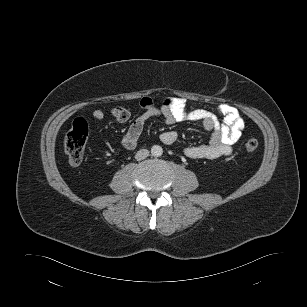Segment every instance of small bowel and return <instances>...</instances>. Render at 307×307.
I'll use <instances>...</instances> for the list:
<instances>
[{
    "label": "small bowel",
    "instance_id": "obj_1",
    "mask_svg": "<svg viewBox=\"0 0 307 307\" xmlns=\"http://www.w3.org/2000/svg\"><path fill=\"white\" fill-rule=\"evenodd\" d=\"M140 107L143 113L130 124L122 140V145L127 150L136 148L144 126L151 118L161 117L167 124L196 121L210 132V140L207 144L186 147L184 154L191 159L213 160L231 155L232 145L240 138L245 125L237 109L228 104H222L218 108L223 116L222 121L210 111L188 109L186 100L180 97L167 98L160 107H156L150 97H144L140 100ZM112 115L118 122L124 123L129 120L130 111L125 107H116L112 110ZM92 117L96 121H101L104 113L94 110ZM160 140L165 145H175L178 135L174 131H167L160 135Z\"/></svg>",
    "mask_w": 307,
    "mask_h": 307
}]
</instances>
